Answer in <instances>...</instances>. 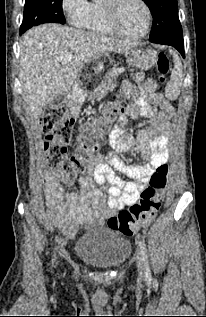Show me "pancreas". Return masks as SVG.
Wrapping results in <instances>:
<instances>
[{
  "label": "pancreas",
  "instance_id": "1",
  "mask_svg": "<svg viewBox=\"0 0 206 317\" xmlns=\"http://www.w3.org/2000/svg\"><path fill=\"white\" fill-rule=\"evenodd\" d=\"M115 74L113 73L112 75H107L105 81L101 86L97 87L96 89L93 88L92 90L95 92L89 93V101H94L95 99H98L105 95L106 93H114L115 92V87L117 86V78L118 76L124 71V69H115Z\"/></svg>",
  "mask_w": 206,
  "mask_h": 317
}]
</instances>
